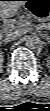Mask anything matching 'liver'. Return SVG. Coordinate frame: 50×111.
Instances as JSON below:
<instances>
[{
  "label": "liver",
  "mask_w": 50,
  "mask_h": 111,
  "mask_svg": "<svg viewBox=\"0 0 50 111\" xmlns=\"http://www.w3.org/2000/svg\"><path fill=\"white\" fill-rule=\"evenodd\" d=\"M25 4V1H1L0 2V16L2 18L13 17L19 10V8Z\"/></svg>",
  "instance_id": "obj_1"
}]
</instances>
